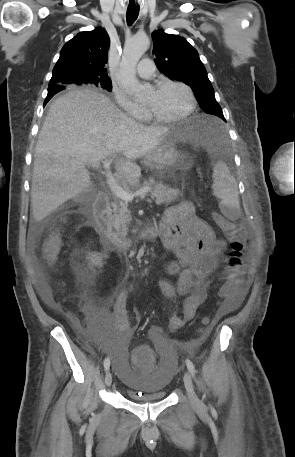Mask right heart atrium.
Instances as JSON below:
<instances>
[{
	"instance_id": "d8ad5b80",
	"label": "right heart atrium",
	"mask_w": 295,
	"mask_h": 457,
	"mask_svg": "<svg viewBox=\"0 0 295 457\" xmlns=\"http://www.w3.org/2000/svg\"><path fill=\"white\" fill-rule=\"evenodd\" d=\"M112 94L119 107L123 109L128 115L136 119L144 118V108L132 101L123 89L115 86L112 89Z\"/></svg>"
}]
</instances>
